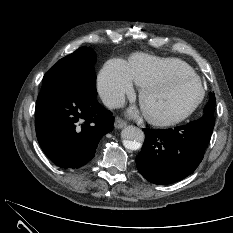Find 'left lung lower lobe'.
Segmentation results:
<instances>
[{
	"mask_svg": "<svg viewBox=\"0 0 233 233\" xmlns=\"http://www.w3.org/2000/svg\"><path fill=\"white\" fill-rule=\"evenodd\" d=\"M213 128L214 124L199 119L174 129H144L137 169L149 182L160 185L187 177L202 161Z\"/></svg>",
	"mask_w": 233,
	"mask_h": 233,
	"instance_id": "1",
	"label": "left lung lower lobe"
}]
</instances>
